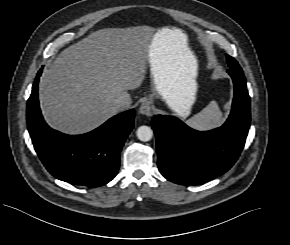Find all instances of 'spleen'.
<instances>
[{
    "mask_svg": "<svg viewBox=\"0 0 290 245\" xmlns=\"http://www.w3.org/2000/svg\"><path fill=\"white\" fill-rule=\"evenodd\" d=\"M223 114L216 101H211L201 112L188 120V124L197 130H209L223 123Z\"/></svg>",
    "mask_w": 290,
    "mask_h": 245,
    "instance_id": "obj_1",
    "label": "spleen"
}]
</instances>
